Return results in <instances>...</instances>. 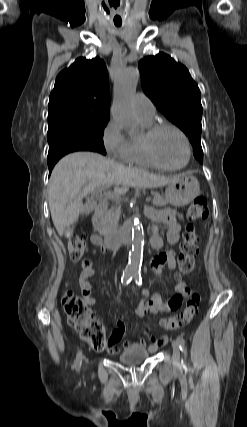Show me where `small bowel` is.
Listing matches in <instances>:
<instances>
[{
    "label": "small bowel",
    "mask_w": 247,
    "mask_h": 427,
    "mask_svg": "<svg viewBox=\"0 0 247 427\" xmlns=\"http://www.w3.org/2000/svg\"><path fill=\"white\" fill-rule=\"evenodd\" d=\"M154 224L152 226L151 245L154 249L160 250L164 246V240L158 233L159 226H163L166 230V241L169 244H176L180 239L181 222L183 217L174 211L168 209L154 210L149 212ZM91 242L95 246L101 245V238L98 235L91 237ZM105 252V247L103 248ZM82 272L79 276V285L81 293L88 305L96 303L95 298L92 296V284L90 278L96 273L93 262L90 259H84L81 263ZM176 252L174 250H167L158 254L151 262V270L156 277H161L162 269L168 266L170 270L176 268ZM176 295L168 302L163 301L159 295L150 296L146 289H142V300L134 306V313L137 316H145L150 313L157 315L165 313L170 310L178 309L184 298L189 295V289L184 281H179L176 286ZM146 334L150 338V343L144 339H140L136 343H126L128 348L142 347L147 348L150 352H156L161 346L165 345L168 341L167 336L153 337L149 334L148 329H145ZM125 334V323L118 320L116 327L113 330L110 338L108 339V347L105 349L109 354H116L118 352L117 344L122 341Z\"/></svg>",
    "instance_id": "obj_1"
}]
</instances>
